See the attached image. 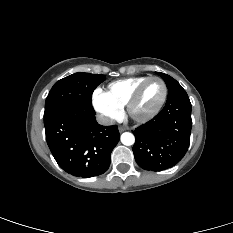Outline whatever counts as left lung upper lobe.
Segmentation results:
<instances>
[{
	"label": "left lung upper lobe",
	"mask_w": 233,
	"mask_h": 233,
	"mask_svg": "<svg viewBox=\"0 0 233 233\" xmlns=\"http://www.w3.org/2000/svg\"><path fill=\"white\" fill-rule=\"evenodd\" d=\"M163 80L165 81L167 88H168V97H171L179 92H183L185 91L181 85L175 80L173 79L171 76L161 73H158Z\"/></svg>",
	"instance_id": "5c2ea615"
}]
</instances>
